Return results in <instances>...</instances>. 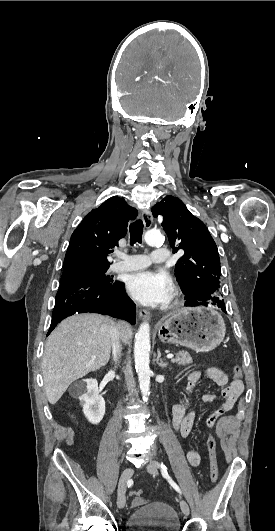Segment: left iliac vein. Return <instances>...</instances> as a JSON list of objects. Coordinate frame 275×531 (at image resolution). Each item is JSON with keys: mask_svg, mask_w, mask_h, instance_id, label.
Returning a JSON list of instances; mask_svg holds the SVG:
<instances>
[{"mask_svg": "<svg viewBox=\"0 0 275 531\" xmlns=\"http://www.w3.org/2000/svg\"><path fill=\"white\" fill-rule=\"evenodd\" d=\"M161 467L160 463L156 460H151L148 464H147V470L148 472L153 475L154 477L158 475V469ZM180 507H181V510L182 512L185 514V515H189L190 513V508H189V505L188 503L185 501V500H181L180 501Z\"/></svg>", "mask_w": 275, "mask_h": 531, "instance_id": "4c4485c4", "label": "left iliac vein"}]
</instances>
